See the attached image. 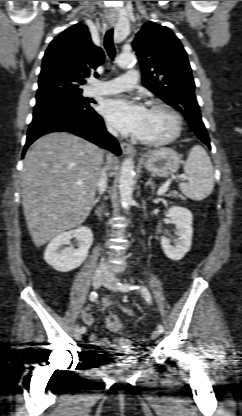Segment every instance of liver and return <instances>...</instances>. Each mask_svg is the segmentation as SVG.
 <instances>
[{
    "label": "liver",
    "mask_w": 242,
    "mask_h": 416,
    "mask_svg": "<svg viewBox=\"0 0 242 416\" xmlns=\"http://www.w3.org/2000/svg\"><path fill=\"white\" fill-rule=\"evenodd\" d=\"M104 153L95 144L67 132L44 135L28 149L22 170V204L37 247L88 217ZM106 161L111 167L115 157L107 154Z\"/></svg>",
    "instance_id": "obj_1"
}]
</instances>
